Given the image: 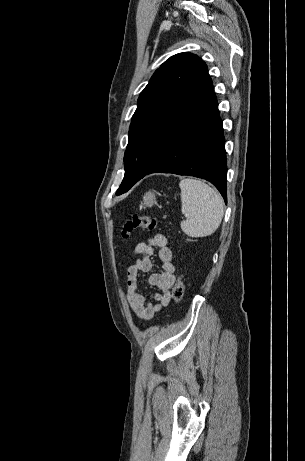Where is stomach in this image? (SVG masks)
Returning <instances> with one entry per match:
<instances>
[{
	"mask_svg": "<svg viewBox=\"0 0 305 461\" xmlns=\"http://www.w3.org/2000/svg\"><path fill=\"white\" fill-rule=\"evenodd\" d=\"M143 204H144L146 207H152L154 204H156L155 194L152 193V192H147V193L143 196Z\"/></svg>",
	"mask_w": 305,
	"mask_h": 461,
	"instance_id": "0dacf381",
	"label": "stomach"
}]
</instances>
